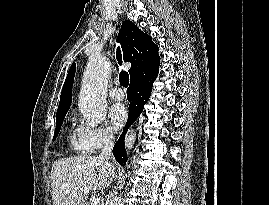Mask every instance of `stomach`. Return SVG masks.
<instances>
[{
    "label": "stomach",
    "instance_id": "stomach-1",
    "mask_svg": "<svg viewBox=\"0 0 269 205\" xmlns=\"http://www.w3.org/2000/svg\"><path fill=\"white\" fill-rule=\"evenodd\" d=\"M87 203H86V201L85 200H78V201H76L75 203H74V205H86Z\"/></svg>",
    "mask_w": 269,
    "mask_h": 205
}]
</instances>
